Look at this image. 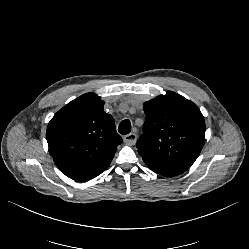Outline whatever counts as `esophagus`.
Here are the masks:
<instances>
[{"mask_svg":"<svg viewBox=\"0 0 249 249\" xmlns=\"http://www.w3.org/2000/svg\"><path fill=\"white\" fill-rule=\"evenodd\" d=\"M123 141L129 146L135 145L137 141V135L135 133L127 134L123 137Z\"/></svg>","mask_w":249,"mask_h":249,"instance_id":"34e87169","label":"esophagus"}]
</instances>
